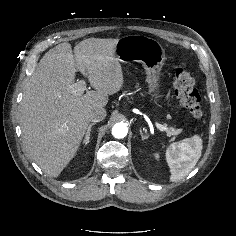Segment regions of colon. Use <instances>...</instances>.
<instances>
[{
  "label": "colon",
  "instance_id": "5ec220e1",
  "mask_svg": "<svg viewBox=\"0 0 236 236\" xmlns=\"http://www.w3.org/2000/svg\"><path fill=\"white\" fill-rule=\"evenodd\" d=\"M174 92L182 107L194 118L202 116L201 96L189 70L180 67L174 76Z\"/></svg>",
  "mask_w": 236,
  "mask_h": 236
}]
</instances>
